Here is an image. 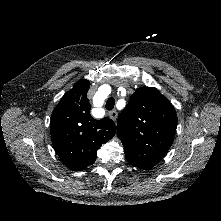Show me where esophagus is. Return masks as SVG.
<instances>
[{
  "instance_id": "esophagus-1",
  "label": "esophagus",
  "mask_w": 221,
  "mask_h": 221,
  "mask_svg": "<svg viewBox=\"0 0 221 221\" xmlns=\"http://www.w3.org/2000/svg\"><path fill=\"white\" fill-rule=\"evenodd\" d=\"M109 117L113 120L116 121L118 117V112L116 110H112L109 112Z\"/></svg>"
}]
</instances>
